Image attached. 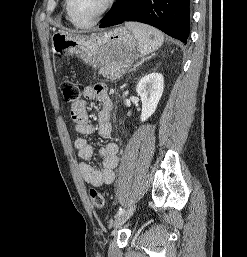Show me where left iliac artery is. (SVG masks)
Listing matches in <instances>:
<instances>
[{"label":"left iliac artery","instance_id":"44dca946","mask_svg":"<svg viewBox=\"0 0 247 257\" xmlns=\"http://www.w3.org/2000/svg\"><path fill=\"white\" fill-rule=\"evenodd\" d=\"M123 212H124V209L120 208L116 215L118 216V215L122 214Z\"/></svg>","mask_w":247,"mask_h":257}]
</instances>
